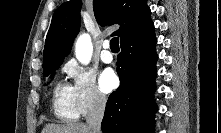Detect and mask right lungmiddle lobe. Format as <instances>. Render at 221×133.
Returning <instances> with one entry per match:
<instances>
[{
  "instance_id": "right-lung-middle-lobe-1",
  "label": "right lung middle lobe",
  "mask_w": 221,
  "mask_h": 133,
  "mask_svg": "<svg viewBox=\"0 0 221 133\" xmlns=\"http://www.w3.org/2000/svg\"><path fill=\"white\" fill-rule=\"evenodd\" d=\"M60 64H61V62L60 63L48 64V65L44 66L43 67L44 76L47 77V76L51 75V77H53L56 68H58Z\"/></svg>"
}]
</instances>
